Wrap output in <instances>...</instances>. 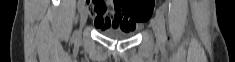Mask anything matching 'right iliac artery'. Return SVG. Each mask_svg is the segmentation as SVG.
Instances as JSON below:
<instances>
[{
    "instance_id": "obj_1",
    "label": "right iliac artery",
    "mask_w": 235,
    "mask_h": 62,
    "mask_svg": "<svg viewBox=\"0 0 235 62\" xmlns=\"http://www.w3.org/2000/svg\"><path fill=\"white\" fill-rule=\"evenodd\" d=\"M83 8H84V2L82 0H80L78 2V9H79V11H82Z\"/></svg>"
}]
</instances>
